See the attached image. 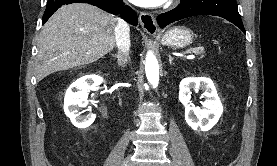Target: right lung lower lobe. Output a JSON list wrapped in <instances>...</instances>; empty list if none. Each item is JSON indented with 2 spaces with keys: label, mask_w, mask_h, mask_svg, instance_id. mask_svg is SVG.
<instances>
[{
  "label": "right lung lower lobe",
  "mask_w": 277,
  "mask_h": 166,
  "mask_svg": "<svg viewBox=\"0 0 277 166\" xmlns=\"http://www.w3.org/2000/svg\"><path fill=\"white\" fill-rule=\"evenodd\" d=\"M70 3H88L112 14H121V18L126 20L128 23L137 26V15L135 11L129 6H124L122 0H48L42 24H44L62 5Z\"/></svg>",
  "instance_id": "right-lung-lower-lobe-1"
}]
</instances>
